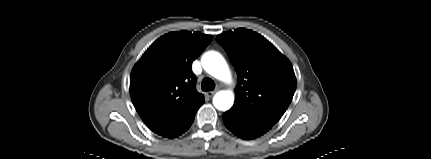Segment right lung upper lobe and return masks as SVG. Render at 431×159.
I'll return each instance as SVG.
<instances>
[{
	"label": "right lung upper lobe",
	"instance_id": "obj_1",
	"mask_svg": "<svg viewBox=\"0 0 431 159\" xmlns=\"http://www.w3.org/2000/svg\"><path fill=\"white\" fill-rule=\"evenodd\" d=\"M199 32H171L157 39L135 64L130 96L144 123L155 133L174 138L204 103L191 65L211 42Z\"/></svg>",
	"mask_w": 431,
	"mask_h": 159
}]
</instances>
